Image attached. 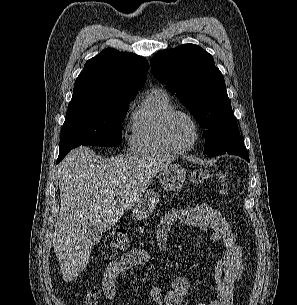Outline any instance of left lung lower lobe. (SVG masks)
I'll return each instance as SVG.
<instances>
[{"mask_svg":"<svg viewBox=\"0 0 297 305\" xmlns=\"http://www.w3.org/2000/svg\"><path fill=\"white\" fill-rule=\"evenodd\" d=\"M238 156H241V157L244 158L246 161H249L248 153L239 154Z\"/></svg>","mask_w":297,"mask_h":305,"instance_id":"obj_1","label":"left lung lower lobe"}]
</instances>
